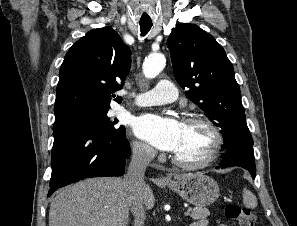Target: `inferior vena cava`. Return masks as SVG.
<instances>
[{
	"mask_svg": "<svg viewBox=\"0 0 297 226\" xmlns=\"http://www.w3.org/2000/svg\"><path fill=\"white\" fill-rule=\"evenodd\" d=\"M155 155V151L142 144L134 145L132 159L124 175L129 209L134 216V226H144L145 210L142 192L145 187L144 175L146 167Z\"/></svg>",
	"mask_w": 297,
	"mask_h": 226,
	"instance_id": "inferior-vena-cava-1",
	"label": "inferior vena cava"
}]
</instances>
